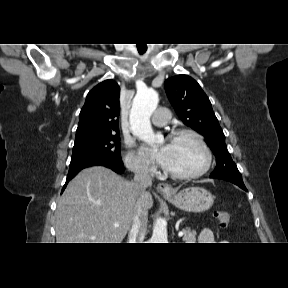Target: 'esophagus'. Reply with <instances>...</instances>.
<instances>
[{"label":"esophagus","instance_id":"34e87169","mask_svg":"<svg viewBox=\"0 0 288 288\" xmlns=\"http://www.w3.org/2000/svg\"><path fill=\"white\" fill-rule=\"evenodd\" d=\"M157 191L164 196L172 195L174 193L173 187L168 183H159Z\"/></svg>","mask_w":288,"mask_h":288}]
</instances>
